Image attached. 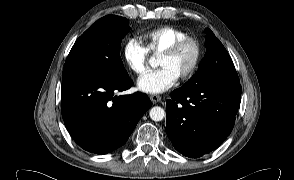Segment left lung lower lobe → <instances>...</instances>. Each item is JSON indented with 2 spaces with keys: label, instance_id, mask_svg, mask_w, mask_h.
Segmentation results:
<instances>
[{
  "label": "left lung lower lobe",
  "instance_id": "left-lung-lower-lobe-1",
  "mask_svg": "<svg viewBox=\"0 0 294 180\" xmlns=\"http://www.w3.org/2000/svg\"><path fill=\"white\" fill-rule=\"evenodd\" d=\"M241 92L240 84L174 90L166 102V133L175 149L197 158L217 148L233 129Z\"/></svg>",
  "mask_w": 294,
  "mask_h": 180
}]
</instances>
